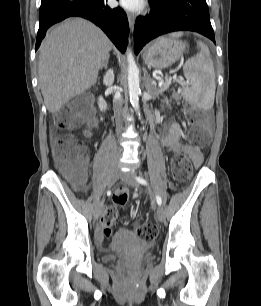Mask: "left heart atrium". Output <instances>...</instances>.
I'll list each match as a JSON object with an SVG mask.
<instances>
[{"instance_id": "left-heart-atrium-1", "label": "left heart atrium", "mask_w": 261, "mask_h": 306, "mask_svg": "<svg viewBox=\"0 0 261 306\" xmlns=\"http://www.w3.org/2000/svg\"><path fill=\"white\" fill-rule=\"evenodd\" d=\"M120 4L128 10H137L141 8L143 0H120Z\"/></svg>"}]
</instances>
